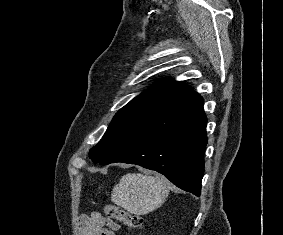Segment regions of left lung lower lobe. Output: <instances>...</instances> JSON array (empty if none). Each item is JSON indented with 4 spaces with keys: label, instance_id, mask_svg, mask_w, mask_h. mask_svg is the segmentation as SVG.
<instances>
[{
    "label": "left lung lower lobe",
    "instance_id": "1",
    "mask_svg": "<svg viewBox=\"0 0 283 235\" xmlns=\"http://www.w3.org/2000/svg\"><path fill=\"white\" fill-rule=\"evenodd\" d=\"M206 124L203 99L192 93L144 125L102 164L123 162L156 170L177 187L199 196Z\"/></svg>",
    "mask_w": 283,
    "mask_h": 235
}]
</instances>
